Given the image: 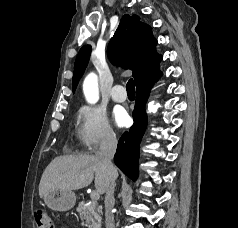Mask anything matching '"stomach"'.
<instances>
[{"instance_id":"stomach-1","label":"stomach","mask_w":238,"mask_h":228,"mask_svg":"<svg viewBox=\"0 0 238 228\" xmlns=\"http://www.w3.org/2000/svg\"><path fill=\"white\" fill-rule=\"evenodd\" d=\"M45 204L54 211H68L76 203V196L73 191L50 190L44 196Z\"/></svg>"}]
</instances>
